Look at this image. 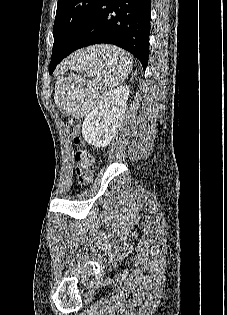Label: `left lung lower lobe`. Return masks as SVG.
Listing matches in <instances>:
<instances>
[{
  "mask_svg": "<svg viewBox=\"0 0 227 315\" xmlns=\"http://www.w3.org/2000/svg\"><path fill=\"white\" fill-rule=\"evenodd\" d=\"M151 0H102L92 17L62 51H53L50 70L70 53L93 44H113L136 56L146 69Z\"/></svg>",
  "mask_w": 227,
  "mask_h": 315,
  "instance_id": "left-lung-lower-lobe-1",
  "label": "left lung lower lobe"
}]
</instances>
